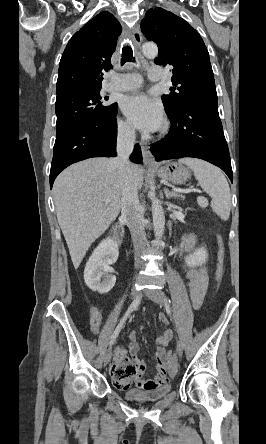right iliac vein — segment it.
I'll list each match as a JSON object with an SVG mask.
<instances>
[{
    "instance_id": "right-iliac-vein-1",
    "label": "right iliac vein",
    "mask_w": 266,
    "mask_h": 444,
    "mask_svg": "<svg viewBox=\"0 0 266 444\" xmlns=\"http://www.w3.org/2000/svg\"><path fill=\"white\" fill-rule=\"evenodd\" d=\"M131 296L133 299H136L140 296V292L135 287H133L131 290ZM111 356H112V347L110 346L106 350L105 355H104V364L105 365H107L110 362Z\"/></svg>"
}]
</instances>
